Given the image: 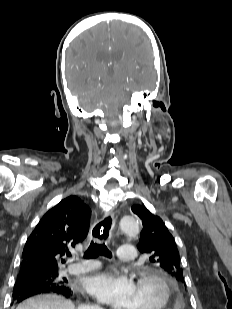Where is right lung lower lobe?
Listing matches in <instances>:
<instances>
[{
    "label": "right lung lower lobe",
    "mask_w": 232,
    "mask_h": 309,
    "mask_svg": "<svg viewBox=\"0 0 232 309\" xmlns=\"http://www.w3.org/2000/svg\"><path fill=\"white\" fill-rule=\"evenodd\" d=\"M32 267H21V273H32ZM58 293L66 298L72 295L71 289L67 286V283L57 286H46L37 284L31 280H21L17 278L13 288V299L18 303L31 296L41 293Z\"/></svg>",
    "instance_id": "98d812e1"
}]
</instances>
